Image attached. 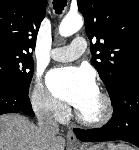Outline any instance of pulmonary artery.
I'll use <instances>...</instances> for the list:
<instances>
[{"instance_id": "1", "label": "pulmonary artery", "mask_w": 139, "mask_h": 150, "mask_svg": "<svg viewBox=\"0 0 139 150\" xmlns=\"http://www.w3.org/2000/svg\"><path fill=\"white\" fill-rule=\"evenodd\" d=\"M86 45V40L83 37H77L68 46L54 48L50 55L56 61H73L84 53Z\"/></svg>"}]
</instances>
